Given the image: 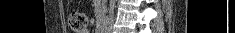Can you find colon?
<instances>
[{"instance_id": "obj_1", "label": "colon", "mask_w": 235, "mask_h": 33, "mask_svg": "<svg viewBox=\"0 0 235 33\" xmlns=\"http://www.w3.org/2000/svg\"><path fill=\"white\" fill-rule=\"evenodd\" d=\"M69 26L73 33H84L87 31V16L80 12H73L69 17Z\"/></svg>"}]
</instances>
